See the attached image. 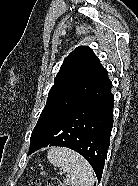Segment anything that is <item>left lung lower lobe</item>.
Returning <instances> with one entry per match:
<instances>
[{
  "label": "left lung lower lobe",
  "mask_w": 138,
  "mask_h": 186,
  "mask_svg": "<svg viewBox=\"0 0 138 186\" xmlns=\"http://www.w3.org/2000/svg\"><path fill=\"white\" fill-rule=\"evenodd\" d=\"M112 82L107 78L67 114L30 144L29 154L62 146L81 154L100 181L113 126Z\"/></svg>",
  "instance_id": "0a47b994"
}]
</instances>
